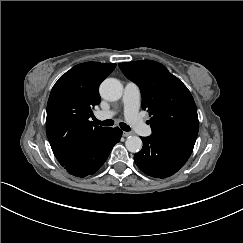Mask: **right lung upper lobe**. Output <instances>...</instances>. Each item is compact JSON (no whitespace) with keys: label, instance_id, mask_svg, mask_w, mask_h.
<instances>
[{"label":"right lung upper lobe","instance_id":"obj_1","mask_svg":"<svg viewBox=\"0 0 243 243\" xmlns=\"http://www.w3.org/2000/svg\"><path fill=\"white\" fill-rule=\"evenodd\" d=\"M116 64L85 62L63 74L53 86L47 104L46 133L53 153L64 166L84 151L107 128L89 118L100 103V83Z\"/></svg>","mask_w":243,"mask_h":243}]
</instances>
